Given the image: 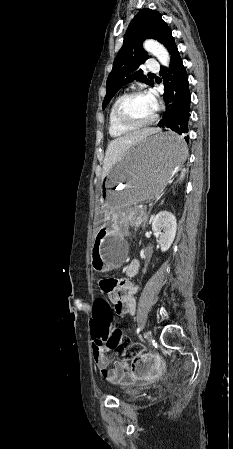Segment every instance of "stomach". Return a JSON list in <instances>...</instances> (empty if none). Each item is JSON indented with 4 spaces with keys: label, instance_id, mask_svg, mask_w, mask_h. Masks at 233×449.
Masks as SVG:
<instances>
[{
    "label": "stomach",
    "instance_id": "obj_1",
    "mask_svg": "<svg viewBox=\"0 0 233 449\" xmlns=\"http://www.w3.org/2000/svg\"><path fill=\"white\" fill-rule=\"evenodd\" d=\"M186 154L179 133L157 132L130 147L110 169L102 188L106 214L99 225L91 256L96 272L117 269L126 258V224L119 210L157 198L183 164Z\"/></svg>",
    "mask_w": 233,
    "mask_h": 449
}]
</instances>
